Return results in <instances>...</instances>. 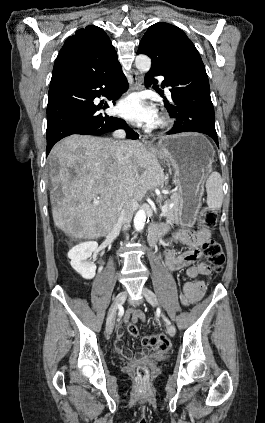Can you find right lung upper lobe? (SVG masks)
<instances>
[{"label":"right lung upper lobe","instance_id":"cb5924a9","mask_svg":"<svg viewBox=\"0 0 265 423\" xmlns=\"http://www.w3.org/2000/svg\"><path fill=\"white\" fill-rule=\"evenodd\" d=\"M121 68L107 34L97 26L79 29L65 41L57 57L50 86Z\"/></svg>","mask_w":265,"mask_h":423}]
</instances>
